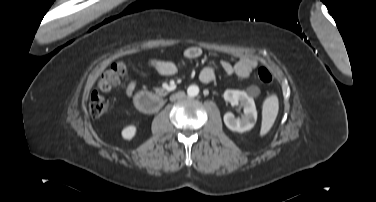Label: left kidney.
Segmentation results:
<instances>
[{"label": "left kidney", "instance_id": "obj_1", "mask_svg": "<svg viewBox=\"0 0 376 202\" xmlns=\"http://www.w3.org/2000/svg\"><path fill=\"white\" fill-rule=\"evenodd\" d=\"M224 99L232 105L239 103L244 107V115L241 118H235L231 112H227L223 118L225 125L230 130L240 133L252 129L257 121V110L253 98L244 91L226 90Z\"/></svg>", "mask_w": 376, "mask_h": 202}]
</instances>
